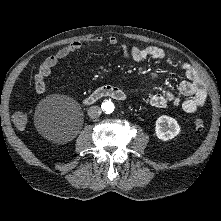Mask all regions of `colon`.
<instances>
[{"label":"colon","instance_id":"obj_1","mask_svg":"<svg viewBox=\"0 0 221 221\" xmlns=\"http://www.w3.org/2000/svg\"><path fill=\"white\" fill-rule=\"evenodd\" d=\"M13 122L19 129H24L27 124V114L25 112H16L13 115ZM193 128L197 132H203L205 130V123L201 119H196L193 122Z\"/></svg>","mask_w":221,"mask_h":221}]
</instances>
